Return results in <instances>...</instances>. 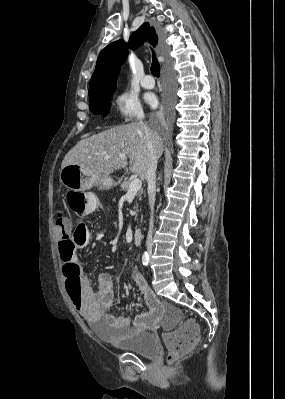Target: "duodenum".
Masks as SVG:
<instances>
[{"mask_svg":"<svg viewBox=\"0 0 285 399\" xmlns=\"http://www.w3.org/2000/svg\"><path fill=\"white\" fill-rule=\"evenodd\" d=\"M144 238V232L142 229H135L133 233V240L136 244H141Z\"/></svg>","mask_w":285,"mask_h":399,"instance_id":"duodenum-1","label":"duodenum"}]
</instances>
